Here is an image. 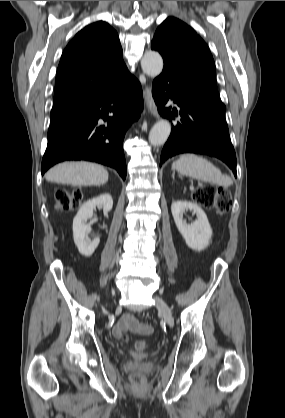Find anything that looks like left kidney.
Listing matches in <instances>:
<instances>
[{
    "instance_id": "obj_1",
    "label": "left kidney",
    "mask_w": 285,
    "mask_h": 418,
    "mask_svg": "<svg viewBox=\"0 0 285 418\" xmlns=\"http://www.w3.org/2000/svg\"><path fill=\"white\" fill-rule=\"evenodd\" d=\"M187 210L196 214L197 219L192 224H187L183 219V214ZM171 212L187 246L196 251L204 250L211 240L212 229L203 209L194 202L174 201L171 205Z\"/></svg>"
}]
</instances>
